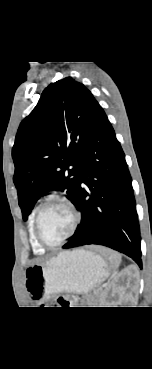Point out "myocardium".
Masks as SVG:
<instances>
[{
  "label": "myocardium",
  "instance_id": "f54148a6",
  "mask_svg": "<svg viewBox=\"0 0 152 369\" xmlns=\"http://www.w3.org/2000/svg\"><path fill=\"white\" fill-rule=\"evenodd\" d=\"M58 202L63 205H65L71 212L72 215V226L70 231L59 241L55 243H47L41 236L40 232V217L43 212V210L51 203ZM81 220L80 212L78 211L75 204L66 196L60 195V194H54L48 196L42 204L37 209L35 216H34V235L37 240V242L43 247V248H56L60 245H62L64 242H66L68 239H70L76 232Z\"/></svg>",
  "mask_w": 152,
  "mask_h": 369
}]
</instances>
